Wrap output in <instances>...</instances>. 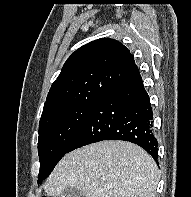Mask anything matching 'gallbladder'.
<instances>
[{
  "label": "gallbladder",
  "mask_w": 191,
  "mask_h": 197,
  "mask_svg": "<svg viewBox=\"0 0 191 197\" xmlns=\"http://www.w3.org/2000/svg\"><path fill=\"white\" fill-rule=\"evenodd\" d=\"M58 197H81V193L76 188H66Z\"/></svg>",
  "instance_id": "bac80fb5"
}]
</instances>
